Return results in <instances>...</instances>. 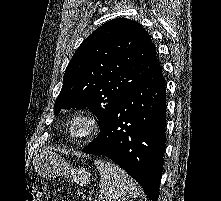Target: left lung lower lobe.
<instances>
[{
  "label": "left lung lower lobe",
  "mask_w": 221,
  "mask_h": 201,
  "mask_svg": "<svg viewBox=\"0 0 221 201\" xmlns=\"http://www.w3.org/2000/svg\"><path fill=\"white\" fill-rule=\"evenodd\" d=\"M166 87L161 66L115 107L99 136L82 152L104 155L157 201L165 150Z\"/></svg>",
  "instance_id": "obj_1"
}]
</instances>
